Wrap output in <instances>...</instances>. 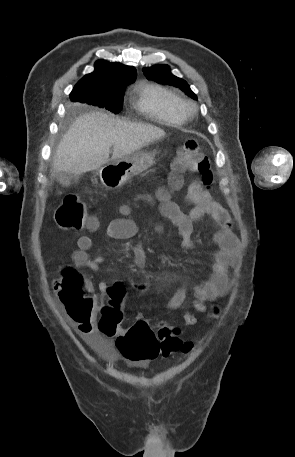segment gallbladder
Segmentation results:
<instances>
[{
    "instance_id": "obj_1",
    "label": "gallbladder",
    "mask_w": 295,
    "mask_h": 457,
    "mask_svg": "<svg viewBox=\"0 0 295 457\" xmlns=\"http://www.w3.org/2000/svg\"><path fill=\"white\" fill-rule=\"evenodd\" d=\"M55 178L63 186H68L71 184V182L77 180L76 175H72V174L65 173V172H57L55 174Z\"/></svg>"
}]
</instances>
